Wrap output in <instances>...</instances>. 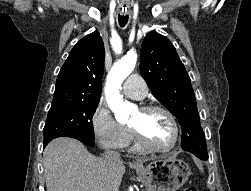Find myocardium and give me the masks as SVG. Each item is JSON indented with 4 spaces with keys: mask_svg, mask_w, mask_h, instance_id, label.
Listing matches in <instances>:
<instances>
[{
    "mask_svg": "<svg viewBox=\"0 0 251 191\" xmlns=\"http://www.w3.org/2000/svg\"><path fill=\"white\" fill-rule=\"evenodd\" d=\"M140 110L144 112H153V111L164 112L170 118L173 124L174 132H175V141H174V144L170 148H167V149L156 148L147 141V139L145 138L141 130H139L138 128L134 126H131V129L135 135V139L138 142V144L145 150L149 152H153V153L170 154V153L175 152L179 148L180 143H181V129H180V125L175 114L167 107L163 105H158V104L145 105L141 107Z\"/></svg>",
    "mask_w": 251,
    "mask_h": 191,
    "instance_id": "1",
    "label": "myocardium"
}]
</instances>
